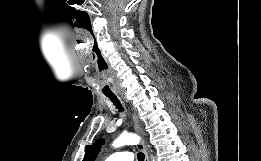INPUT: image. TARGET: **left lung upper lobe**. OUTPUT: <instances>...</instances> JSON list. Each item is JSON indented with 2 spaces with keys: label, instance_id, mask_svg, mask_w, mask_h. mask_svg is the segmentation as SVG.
Returning <instances> with one entry per match:
<instances>
[{
  "label": "left lung upper lobe",
  "instance_id": "left-lung-upper-lobe-1",
  "mask_svg": "<svg viewBox=\"0 0 261 161\" xmlns=\"http://www.w3.org/2000/svg\"><path fill=\"white\" fill-rule=\"evenodd\" d=\"M103 144H104V140L100 139V140H97L92 145H87L85 157H84L83 161H94L95 157L97 156V154L100 150V147Z\"/></svg>",
  "mask_w": 261,
  "mask_h": 161
}]
</instances>
